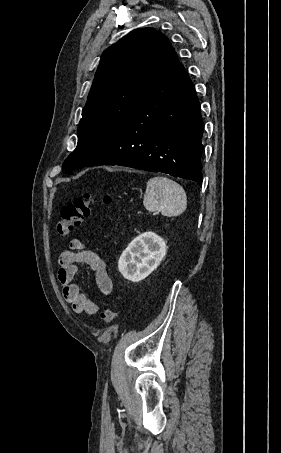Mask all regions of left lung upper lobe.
<instances>
[{"mask_svg":"<svg viewBox=\"0 0 281 453\" xmlns=\"http://www.w3.org/2000/svg\"><path fill=\"white\" fill-rule=\"evenodd\" d=\"M173 48L153 28L131 31L101 57L78 127V144L63 169L94 160L117 134L154 82Z\"/></svg>","mask_w":281,"mask_h":453,"instance_id":"obj_1","label":"left lung upper lobe"}]
</instances>
